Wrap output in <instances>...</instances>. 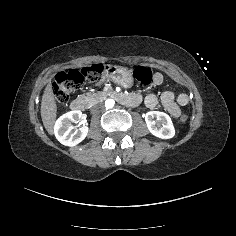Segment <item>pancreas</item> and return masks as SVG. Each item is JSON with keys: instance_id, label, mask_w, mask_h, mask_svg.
Wrapping results in <instances>:
<instances>
[{"instance_id": "1", "label": "pancreas", "mask_w": 236, "mask_h": 236, "mask_svg": "<svg viewBox=\"0 0 236 236\" xmlns=\"http://www.w3.org/2000/svg\"><path fill=\"white\" fill-rule=\"evenodd\" d=\"M107 97H108L107 93L99 91V92L85 93L80 96V99L83 100L88 107H91L92 105L105 100Z\"/></svg>"}]
</instances>
